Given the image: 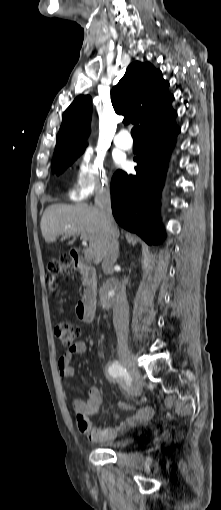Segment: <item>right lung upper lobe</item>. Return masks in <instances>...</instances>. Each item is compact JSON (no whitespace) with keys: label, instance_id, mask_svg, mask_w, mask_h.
I'll list each match as a JSON object with an SVG mask.
<instances>
[{"label":"right lung upper lobe","instance_id":"cb5924a9","mask_svg":"<svg viewBox=\"0 0 221 510\" xmlns=\"http://www.w3.org/2000/svg\"><path fill=\"white\" fill-rule=\"evenodd\" d=\"M160 70L150 63H131L111 93L112 105L125 124L140 123L141 132L176 117L171 106L174 96ZM90 96H78L65 110L57 136L54 157L79 147H86L92 111Z\"/></svg>","mask_w":221,"mask_h":510}]
</instances>
